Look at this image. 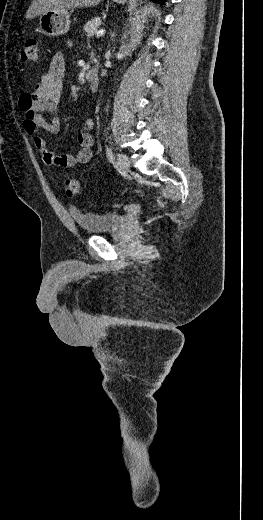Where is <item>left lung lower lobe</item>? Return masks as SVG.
Masks as SVG:
<instances>
[{
    "instance_id": "left-lung-lower-lobe-1",
    "label": "left lung lower lobe",
    "mask_w": 263,
    "mask_h": 520,
    "mask_svg": "<svg viewBox=\"0 0 263 520\" xmlns=\"http://www.w3.org/2000/svg\"><path fill=\"white\" fill-rule=\"evenodd\" d=\"M154 2H158V3H161V4H164L166 0H153Z\"/></svg>"
}]
</instances>
